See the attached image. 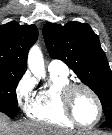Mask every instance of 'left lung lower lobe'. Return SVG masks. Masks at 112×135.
<instances>
[{"mask_svg":"<svg viewBox=\"0 0 112 135\" xmlns=\"http://www.w3.org/2000/svg\"><path fill=\"white\" fill-rule=\"evenodd\" d=\"M100 127H108L112 129V118L106 119Z\"/></svg>","mask_w":112,"mask_h":135,"instance_id":"obj_1","label":"left lung lower lobe"}]
</instances>
